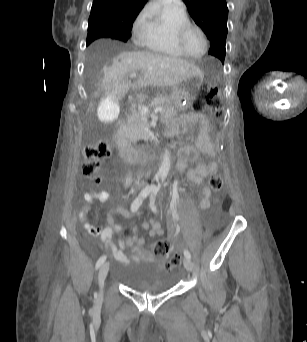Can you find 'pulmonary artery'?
<instances>
[{
	"mask_svg": "<svg viewBox=\"0 0 307 342\" xmlns=\"http://www.w3.org/2000/svg\"><path fill=\"white\" fill-rule=\"evenodd\" d=\"M163 4L162 8H156L154 15L158 18L165 10H182L186 8L185 1H161Z\"/></svg>",
	"mask_w": 307,
	"mask_h": 342,
	"instance_id": "1",
	"label": "pulmonary artery"
}]
</instances>
